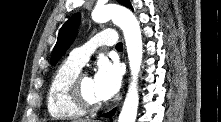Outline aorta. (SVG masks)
Returning a JSON list of instances; mask_svg holds the SVG:
<instances>
[{
	"label": "aorta",
	"instance_id": "1",
	"mask_svg": "<svg viewBox=\"0 0 221 122\" xmlns=\"http://www.w3.org/2000/svg\"><path fill=\"white\" fill-rule=\"evenodd\" d=\"M92 19L95 22L112 20L123 31L132 80L118 122H135L139 104L137 81L143 55L139 22L129 9L117 4L96 6L92 12Z\"/></svg>",
	"mask_w": 221,
	"mask_h": 122
}]
</instances>
